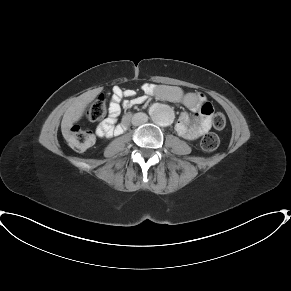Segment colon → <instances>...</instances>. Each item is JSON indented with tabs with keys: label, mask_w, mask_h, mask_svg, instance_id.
I'll use <instances>...</instances> for the list:
<instances>
[{
	"label": "colon",
	"mask_w": 291,
	"mask_h": 291,
	"mask_svg": "<svg viewBox=\"0 0 291 291\" xmlns=\"http://www.w3.org/2000/svg\"><path fill=\"white\" fill-rule=\"evenodd\" d=\"M211 112L210 106L205 110L206 114ZM106 114V96L100 95L93 100L87 109V117L92 121H100ZM226 124L225 116L222 113H216L213 116V125L217 129L224 128ZM66 139L71 148L76 151H83L88 148L95 139L94 133L87 128L73 124L65 133ZM220 140L215 134H208L201 140V148L206 152H211L219 147Z\"/></svg>",
	"instance_id": "1"
}]
</instances>
